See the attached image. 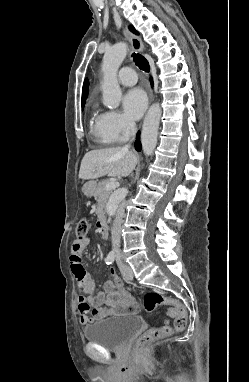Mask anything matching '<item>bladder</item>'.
I'll return each instance as SVG.
<instances>
[{"label":"bladder","mask_w":249,"mask_h":382,"mask_svg":"<svg viewBox=\"0 0 249 382\" xmlns=\"http://www.w3.org/2000/svg\"><path fill=\"white\" fill-rule=\"evenodd\" d=\"M141 326L142 319L138 316L120 315L93 322L84 328L83 334L88 342L118 351Z\"/></svg>","instance_id":"1"}]
</instances>
